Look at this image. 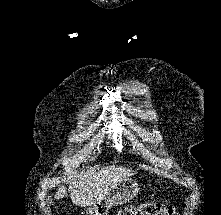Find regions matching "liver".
Returning a JSON list of instances; mask_svg holds the SVG:
<instances>
[{
    "label": "liver",
    "mask_w": 221,
    "mask_h": 215,
    "mask_svg": "<svg viewBox=\"0 0 221 215\" xmlns=\"http://www.w3.org/2000/svg\"><path fill=\"white\" fill-rule=\"evenodd\" d=\"M135 174L136 171L130 168L115 165L106 166L98 172H87L72 182L68 189L64 186L60 187L55 194V198H64L68 191L72 203L76 206H92L100 202L116 184Z\"/></svg>",
    "instance_id": "1"
}]
</instances>
